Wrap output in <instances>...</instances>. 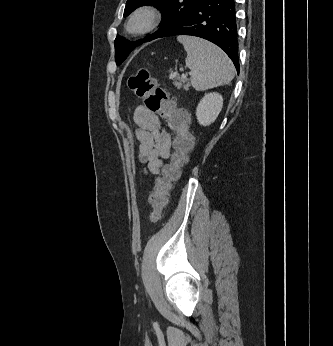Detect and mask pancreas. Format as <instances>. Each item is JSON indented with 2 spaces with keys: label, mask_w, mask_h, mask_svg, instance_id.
<instances>
[{
  "label": "pancreas",
  "mask_w": 333,
  "mask_h": 346,
  "mask_svg": "<svg viewBox=\"0 0 333 346\" xmlns=\"http://www.w3.org/2000/svg\"><path fill=\"white\" fill-rule=\"evenodd\" d=\"M178 80H179V82L185 83V86H184L185 89H188L190 87V83L188 82V79L185 75L178 76ZM179 85H181V84H179Z\"/></svg>",
  "instance_id": "obj_1"
}]
</instances>
